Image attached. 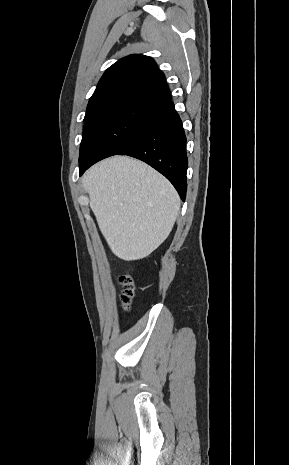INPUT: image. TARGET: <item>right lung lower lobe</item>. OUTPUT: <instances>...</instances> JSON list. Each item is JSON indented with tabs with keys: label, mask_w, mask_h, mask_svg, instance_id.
I'll list each match as a JSON object with an SVG mask.
<instances>
[{
	"label": "right lung lower lobe",
	"mask_w": 289,
	"mask_h": 465,
	"mask_svg": "<svg viewBox=\"0 0 289 465\" xmlns=\"http://www.w3.org/2000/svg\"><path fill=\"white\" fill-rule=\"evenodd\" d=\"M140 159L161 174L176 188L184 201L187 191L188 159L186 136L182 122L171 100L163 105L162 113L117 153ZM99 160L79 164V175Z\"/></svg>",
	"instance_id": "98d812e1"
}]
</instances>
